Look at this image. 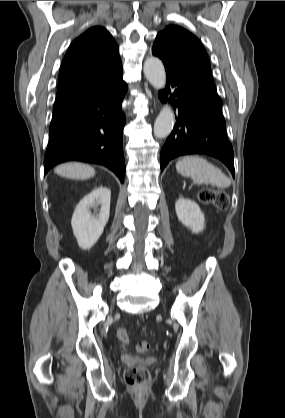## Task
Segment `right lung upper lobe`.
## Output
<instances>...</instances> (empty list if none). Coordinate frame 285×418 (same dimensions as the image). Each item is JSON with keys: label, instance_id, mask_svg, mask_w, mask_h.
<instances>
[{"label": "right lung upper lobe", "instance_id": "right-lung-upper-lobe-1", "mask_svg": "<svg viewBox=\"0 0 285 418\" xmlns=\"http://www.w3.org/2000/svg\"><path fill=\"white\" fill-rule=\"evenodd\" d=\"M123 76L119 48L103 27L85 31L69 46L59 71L53 111L105 88Z\"/></svg>", "mask_w": 285, "mask_h": 418}]
</instances>
